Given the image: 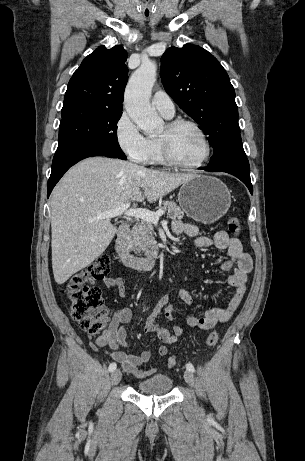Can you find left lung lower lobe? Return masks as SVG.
I'll list each match as a JSON object with an SVG mask.
<instances>
[{
	"label": "left lung lower lobe",
	"instance_id": "obj_1",
	"mask_svg": "<svg viewBox=\"0 0 305 461\" xmlns=\"http://www.w3.org/2000/svg\"><path fill=\"white\" fill-rule=\"evenodd\" d=\"M199 169L205 170V171H213V172H226L229 174H232L239 178L249 189L250 193L253 194V187L251 184V179H250V168H244L242 165L236 163V162H231L229 164L212 168V167H200Z\"/></svg>",
	"mask_w": 305,
	"mask_h": 461
}]
</instances>
